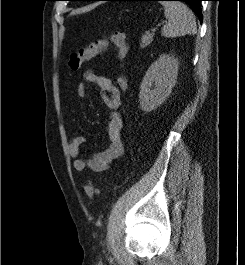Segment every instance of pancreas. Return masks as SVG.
I'll use <instances>...</instances> for the list:
<instances>
[{
  "instance_id": "cf45deb5",
  "label": "pancreas",
  "mask_w": 245,
  "mask_h": 265,
  "mask_svg": "<svg viewBox=\"0 0 245 265\" xmlns=\"http://www.w3.org/2000/svg\"><path fill=\"white\" fill-rule=\"evenodd\" d=\"M153 34H145L141 38L140 47L145 48L153 41Z\"/></svg>"
}]
</instances>
